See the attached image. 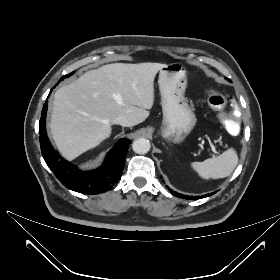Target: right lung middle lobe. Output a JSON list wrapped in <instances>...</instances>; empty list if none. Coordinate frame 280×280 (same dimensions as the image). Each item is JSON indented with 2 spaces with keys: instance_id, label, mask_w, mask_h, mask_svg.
<instances>
[{
  "instance_id": "right-lung-middle-lobe-1",
  "label": "right lung middle lobe",
  "mask_w": 280,
  "mask_h": 280,
  "mask_svg": "<svg viewBox=\"0 0 280 280\" xmlns=\"http://www.w3.org/2000/svg\"><path fill=\"white\" fill-rule=\"evenodd\" d=\"M73 73H74V72H72V73H70V74H68V75H64L63 77H61L60 81L63 80L64 78H67V77L71 76Z\"/></svg>"
}]
</instances>
